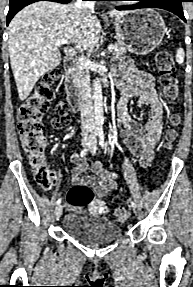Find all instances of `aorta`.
Masks as SVG:
<instances>
[{"instance_id": "762f6f07", "label": "aorta", "mask_w": 193, "mask_h": 287, "mask_svg": "<svg viewBox=\"0 0 193 287\" xmlns=\"http://www.w3.org/2000/svg\"><path fill=\"white\" fill-rule=\"evenodd\" d=\"M93 100H94V118L95 126L98 130L102 129L104 117H103V95L102 86L98 78L95 79L93 84Z\"/></svg>"}]
</instances>
